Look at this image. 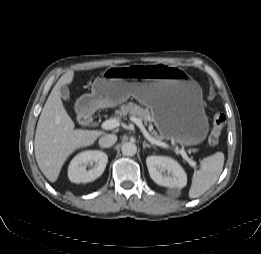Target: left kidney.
I'll return each instance as SVG.
<instances>
[{"label": "left kidney", "instance_id": "1", "mask_svg": "<svg viewBox=\"0 0 261 254\" xmlns=\"http://www.w3.org/2000/svg\"><path fill=\"white\" fill-rule=\"evenodd\" d=\"M147 168L152 180L161 186L183 188L187 184V175L182 166L170 157L148 156Z\"/></svg>", "mask_w": 261, "mask_h": 254}]
</instances>
